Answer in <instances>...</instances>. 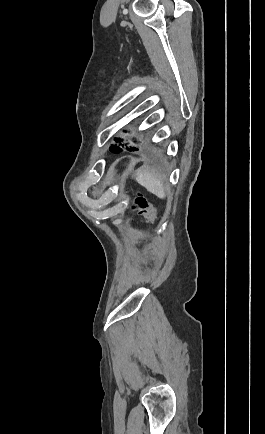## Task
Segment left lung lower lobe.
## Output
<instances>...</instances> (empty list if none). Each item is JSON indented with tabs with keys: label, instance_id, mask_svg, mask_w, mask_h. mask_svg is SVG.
Wrapping results in <instances>:
<instances>
[{
	"label": "left lung lower lobe",
	"instance_id": "left-lung-lower-lobe-1",
	"mask_svg": "<svg viewBox=\"0 0 265 434\" xmlns=\"http://www.w3.org/2000/svg\"><path fill=\"white\" fill-rule=\"evenodd\" d=\"M125 147H127L126 145L124 146V147H121V148H117V149H113V148H110V151L111 152H113V153H119V152H122L124 149H125ZM128 151H137L138 149L137 148H135V147H131V148H126Z\"/></svg>",
	"mask_w": 265,
	"mask_h": 434
}]
</instances>
